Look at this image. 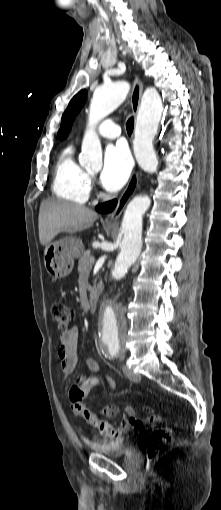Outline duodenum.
<instances>
[{"mask_svg": "<svg viewBox=\"0 0 221 510\" xmlns=\"http://www.w3.org/2000/svg\"><path fill=\"white\" fill-rule=\"evenodd\" d=\"M100 293H101V289L98 288V290L90 297V299L88 301V305H87L89 312H94L97 309Z\"/></svg>", "mask_w": 221, "mask_h": 510, "instance_id": "410a0bca", "label": "duodenum"}]
</instances>
